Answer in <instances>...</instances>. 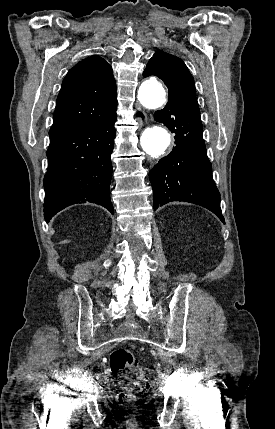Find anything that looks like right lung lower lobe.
<instances>
[{
  "label": "right lung lower lobe",
  "mask_w": 275,
  "mask_h": 429,
  "mask_svg": "<svg viewBox=\"0 0 275 429\" xmlns=\"http://www.w3.org/2000/svg\"><path fill=\"white\" fill-rule=\"evenodd\" d=\"M115 122L116 115L50 136L48 171L44 177L46 222L75 203H96L113 214L109 187Z\"/></svg>",
  "instance_id": "right-lung-lower-lobe-1"
}]
</instances>
